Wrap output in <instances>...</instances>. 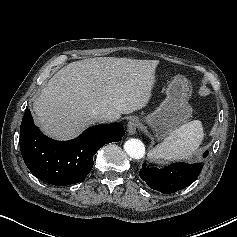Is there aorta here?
Segmentation results:
<instances>
[{"mask_svg": "<svg viewBox=\"0 0 237 237\" xmlns=\"http://www.w3.org/2000/svg\"><path fill=\"white\" fill-rule=\"evenodd\" d=\"M124 150L126 153L134 159H141L145 155V146L139 139H129L124 144Z\"/></svg>", "mask_w": 237, "mask_h": 237, "instance_id": "762f6f07", "label": "aorta"}]
</instances>
